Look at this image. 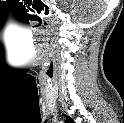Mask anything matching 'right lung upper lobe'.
<instances>
[{"mask_svg":"<svg viewBox=\"0 0 124 123\" xmlns=\"http://www.w3.org/2000/svg\"><path fill=\"white\" fill-rule=\"evenodd\" d=\"M66 123H74L73 119L70 118L69 116L66 117Z\"/></svg>","mask_w":124,"mask_h":123,"instance_id":"cb5924a9","label":"right lung upper lobe"}]
</instances>
